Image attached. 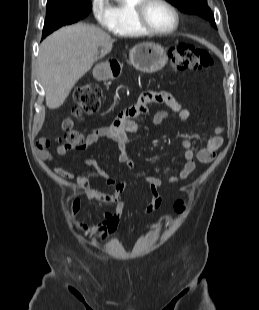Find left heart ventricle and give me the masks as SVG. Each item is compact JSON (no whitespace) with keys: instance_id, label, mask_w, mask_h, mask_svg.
<instances>
[{"instance_id":"1","label":"left heart ventricle","mask_w":259,"mask_h":310,"mask_svg":"<svg viewBox=\"0 0 259 310\" xmlns=\"http://www.w3.org/2000/svg\"><path fill=\"white\" fill-rule=\"evenodd\" d=\"M146 19L157 30H168L175 24V17L172 11L159 2H152L148 5Z\"/></svg>"}]
</instances>
